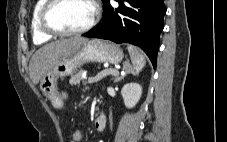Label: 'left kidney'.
<instances>
[{"label": "left kidney", "mask_w": 227, "mask_h": 142, "mask_svg": "<svg viewBox=\"0 0 227 142\" xmlns=\"http://www.w3.org/2000/svg\"><path fill=\"white\" fill-rule=\"evenodd\" d=\"M142 87L138 83L125 84L121 90L124 104L127 108H133L140 100Z\"/></svg>", "instance_id": "1"}]
</instances>
